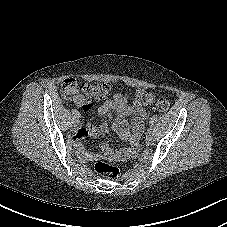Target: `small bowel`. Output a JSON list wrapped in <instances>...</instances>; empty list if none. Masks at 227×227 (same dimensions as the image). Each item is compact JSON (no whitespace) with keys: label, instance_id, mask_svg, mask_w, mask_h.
I'll return each mask as SVG.
<instances>
[{"label":"small bowel","instance_id":"small-bowel-1","mask_svg":"<svg viewBox=\"0 0 227 227\" xmlns=\"http://www.w3.org/2000/svg\"><path fill=\"white\" fill-rule=\"evenodd\" d=\"M75 106L82 108L85 111H89L92 107L91 101L87 100L81 94L73 98ZM98 113L101 115L113 114L116 118L113 129L123 139L127 140L130 144L128 148H124L118 152L113 153L112 150L104 145L103 154L106 157L121 158L132 155L136 152L138 147V140L143 133L145 120L148 118V111L143 104L138 101H134L132 105H129L127 98L124 94H115L112 98H104L102 104L98 108ZM132 115V126L129 127L127 117ZM108 131V125L106 123L97 125H88L83 128H79L75 135L76 143H80L82 140L89 136H99L105 134ZM89 159H94L97 156L92 153H85Z\"/></svg>","mask_w":227,"mask_h":227}]
</instances>
